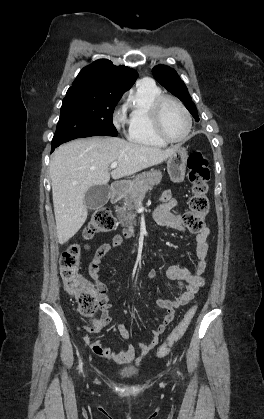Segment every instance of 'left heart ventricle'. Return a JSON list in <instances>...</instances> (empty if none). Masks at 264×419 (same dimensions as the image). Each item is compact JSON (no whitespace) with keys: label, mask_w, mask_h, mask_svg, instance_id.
<instances>
[{"label":"left heart ventricle","mask_w":264,"mask_h":419,"mask_svg":"<svg viewBox=\"0 0 264 419\" xmlns=\"http://www.w3.org/2000/svg\"><path fill=\"white\" fill-rule=\"evenodd\" d=\"M162 124L165 133L172 138H181L187 129L184 113L173 102H166L162 111Z\"/></svg>","instance_id":"obj_1"}]
</instances>
